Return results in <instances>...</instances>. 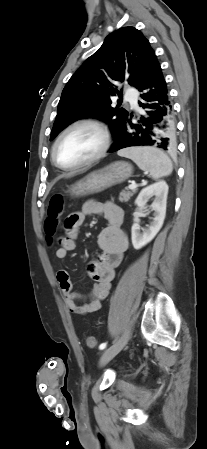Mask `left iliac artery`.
<instances>
[{
  "instance_id": "1",
  "label": "left iliac artery",
  "mask_w": 207,
  "mask_h": 449,
  "mask_svg": "<svg viewBox=\"0 0 207 449\" xmlns=\"http://www.w3.org/2000/svg\"><path fill=\"white\" fill-rule=\"evenodd\" d=\"M106 346H107V343H102V344H100L99 349L103 350L106 348Z\"/></svg>"
}]
</instances>
